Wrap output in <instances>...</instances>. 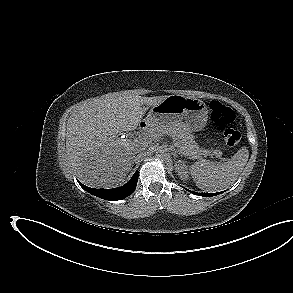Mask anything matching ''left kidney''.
Listing matches in <instances>:
<instances>
[{"label": "left kidney", "instance_id": "1", "mask_svg": "<svg viewBox=\"0 0 293 293\" xmlns=\"http://www.w3.org/2000/svg\"><path fill=\"white\" fill-rule=\"evenodd\" d=\"M175 169L176 172L178 174V176L182 179V180H187L188 178V167L186 165V163L184 161H177L175 163Z\"/></svg>", "mask_w": 293, "mask_h": 293}]
</instances>
